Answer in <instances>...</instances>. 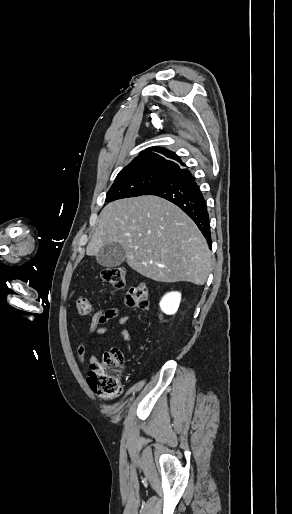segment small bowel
<instances>
[{
	"label": "small bowel",
	"mask_w": 292,
	"mask_h": 514,
	"mask_svg": "<svg viewBox=\"0 0 292 514\" xmlns=\"http://www.w3.org/2000/svg\"><path fill=\"white\" fill-rule=\"evenodd\" d=\"M130 322V318L127 315H121L120 310L117 307H101L95 311L92 316L91 323L89 326V336L92 342L99 340L104 333L110 328H119V336L128 343L134 341L133 335L124 326ZM77 355L79 362L84 365L86 358V346L83 342H79L77 346ZM89 365L96 367L99 362L96 361V357L92 355L90 357Z\"/></svg>",
	"instance_id": "1"
}]
</instances>
